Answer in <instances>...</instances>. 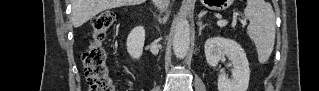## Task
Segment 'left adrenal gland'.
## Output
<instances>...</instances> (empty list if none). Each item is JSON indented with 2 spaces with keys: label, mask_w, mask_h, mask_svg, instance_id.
<instances>
[{
  "label": "left adrenal gland",
  "mask_w": 319,
  "mask_h": 91,
  "mask_svg": "<svg viewBox=\"0 0 319 91\" xmlns=\"http://www.w3.org/2000/svg\"><path fill=\"white\" fill-rule=\"evenodd\" d=\"M198 26H199V35L201 34L202 30L208 26V24H203L201 20H199V23H198Z\"/></svg>",
  "instance_id": "left-adrenal-gland-1"
}]
</instances>
